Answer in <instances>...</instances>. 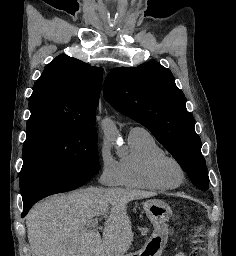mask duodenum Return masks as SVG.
I'll return each mask as SVG.
<instances>
[{"label":"duodenum","mask_w":236,"mask_h":256,"mask_svg":"<svg viewBox=\"0 0 236 256\" xmlns=\"http://www.w3.org/2000/svg\"><path fill=\"white\" fill-rule=\"evenodd\" d=\"M101 256H107V254H101Z\"/></svg>","instance_id":"410a0bca"}]
</instances>
